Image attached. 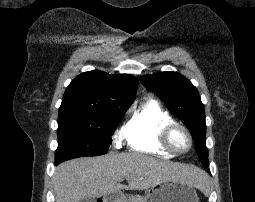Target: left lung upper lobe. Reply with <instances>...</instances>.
Returning a JSON list of instances; mask_svg holds the SVG:
<instances>
[{"label":"left lung upper lobe","mask_w":255,"mask_h":202,"mask_svg":"<svg viewBox=\"0 0 255 202\" xmlns=\"http://www.w3.org/2000/svg\"><path fill=\"white\" fill-rule=\"evenodd\" d=\"M142 84L156 93L169 110L178 117L191 132L200 161L209 166L205 145V111L197 89L177 72H159L140 78Z\"/></svg>","instance_id":"5c2ea615"}]
</instances>
